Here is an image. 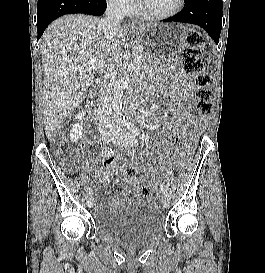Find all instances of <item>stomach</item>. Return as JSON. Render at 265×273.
<instances>
[{
  "instance_id": "1",
  "label": "stomach",
  "mask_w": 265,
  "mask_h": 273,
  "mask_svg": "<svg viewBox=\"0 0 265 273\" xmlns=\"http://www.w3.org/2000/svg\"><path fill=\"white\" fill-rule=\"evenodd\" d=\"M185 30H194V25H154L139 27L131 31L139 44H131V49H145L138 55L140 64H174V51L162 49H177L179 40L186 35ZM158 49V51H151Z\"/></svg>"
}]
</instances>
